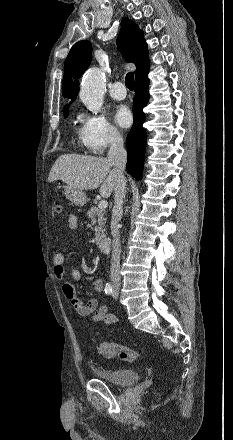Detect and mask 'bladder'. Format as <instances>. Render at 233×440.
Wrapping results in <instances>:
<instances>
[{"instance_id": "bladder-1", "label": "bladder", "mask_w": 233, "mask_h": 440, "mask_svg": "<svg viewBox=\"0 0 233 440\" xmlns=\"http://www.w3.org/2000/svg\"><path fill=\"white\" fill-rule=\"evenodd\" d=\"M93 372L96 377L113 385H129L139 379V374L134 369L106 370L94 367Z\"/></svg>"}]
</instances>
